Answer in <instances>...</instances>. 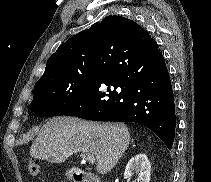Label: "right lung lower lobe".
<instances>
[{
  "label": "right lung lower lobe",
  "instance_id": "1",
  "mask_svg": "<svg viewBox=\"0 0 211 182\" xmlns=\"http://www.w3.org/2000/svg\"><path fill=\"white\" fill-rule=\"evenodd\" d=\"M61 115L93 121L136 122L168 147L175 136L173 90L163 55L150 38L104 34L87 88Z\"/></svg>",
  "mask_w": 211,
  "mask_h": 182
}]
</instances>
